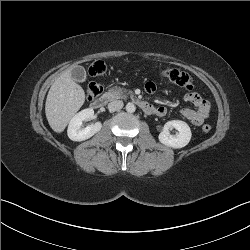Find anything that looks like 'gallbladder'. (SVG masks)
Here are the masks:
<instances>
[{"mask_svg": "<svg viewBox=\"0 0 250 250\" xmlns=\"http://www.w3.org/2000/svg\"><path fill=\"white\" fill-rule=\"evenodd\" d=\"M71 77L77 82H84L86 79V71L82 66H75L71 69Z\"/></svg>", "mask_w": 250, "mask_h": 250, "instance_id": "obj_1", "label": "gallbladder"}]
</instances>
